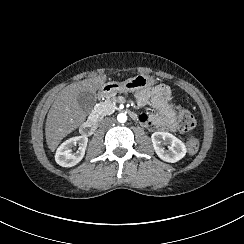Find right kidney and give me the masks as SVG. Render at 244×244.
<instances>
[{
  "label": "right kidney",
  "instance_id": "1",
  "mask_svg": "<svg viewBox=\"0 0 244 244\" xmlns=\"http://www.w3.org/2000/svg\"><path fill=\"white\" fill-rule=\"evenodd\" d=\"M79 144L80 150L73 153L72 147ZM88 144L87 136L72 137L63 142L55 153V161L59 166L70 168L79 164L84 155Z\"/></svg>",
  "mask_w": 244,
  "mask_h": 244
}]
</instances>
